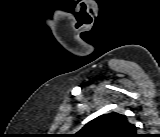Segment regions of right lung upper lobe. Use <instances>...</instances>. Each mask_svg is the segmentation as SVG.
I'll list each match as a JSON object with an SVG mask.
<instances>
[{
  "instance_id": "obj_1",
  "label": "right lung upper lobe",
  "mask_w": 160,
  "mask_h": 137,
  "mask_svg": "<svg viewBox=\"0 0 160 137\" xmlns=\"http://www.w3.org/2000/svg\"><path fill=\"white\" fill-rule=\"evenodd\" d=\"M135 125L119 113L101 115L87 123L77 135L80 137H134Z\"/></svg>"
}]
</instances>
